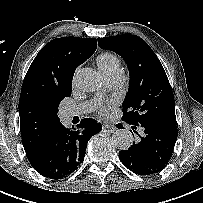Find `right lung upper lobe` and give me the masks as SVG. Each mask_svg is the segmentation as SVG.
I'll return each instance as SVG.
<instances>
[{
	"mask_svg": "<svg viewBox=\"0 0 203 203\" xmlns=\"http://www.w3.org/2000/svg\"><path fill=\"white\" fill-rule=\"evenodd\" d=\"M95 38L62 37L47 43L23 81L19 115L27 156L42 149L61 124L53 103L72 91L75 69L96 50Z\"/></svg>",
	"mask_w": 203,
	"mask_h": 203,
	"instance_id": "1",
	"label": "right lung upper lobe"
}]
</instances>
